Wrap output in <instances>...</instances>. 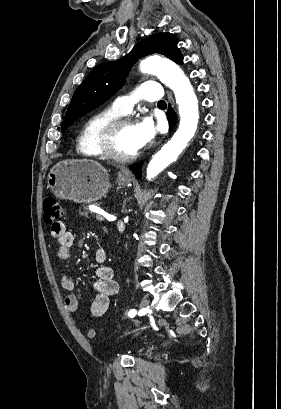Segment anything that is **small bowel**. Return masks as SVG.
<instances>
[{"mask_svg": "<svg viewBox=\"0 0 281 409\" xmlns=\"http://www.w3.org/2000/svg\"><path fill=\"white\" fill-rule=\"evenodd\" d=\"M51 234L58 243L56 255L61 262L69 260L71 248L73 245V234L67 229L62 221H56L51 225ZM108 256L104 246H97L94 250V259L101 263L95 269L96 281L92 285L95 293V299L91 305L92 315L100 317L107 311L110 298L118 293L119 285L114 278V270L111 266L103 264ZM61 287L70 291L74 289V279L72 275L63 271L60 276ZM65 305L70 313H78L81 310L79 299L75 295H69L65 298Z\"/></svg>", "mask_w": 281, "mask_h": 409, "instance_id": "c3829d8e", "label": "small bowel"}]
</instances>
